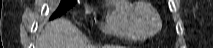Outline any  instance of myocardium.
Listing matches in <instances>:
<instances>
[{
  "label": "myocardium",
  "mask_w": 213,
  "mask_h": 48,
  "mask_svg": "<svg viewBox=\"0 0 213 48\" xmlns=\"http://www.w3.org/2000/svg\"><path fill=\"white\" fill-rule=\"evenodd\" d=\"M144 11H150L157 19V28L153 32H148L143 26L142 20H141V15ZM133 20L135 22V25L137 28L147 37L153 36L156 34L162 26V20L160 17L159 12L151 5H149L146 2H139L138 5L136 6L134 12H133Z\"/></svg>",
  "instance_id": "1"
}]
</instances>
